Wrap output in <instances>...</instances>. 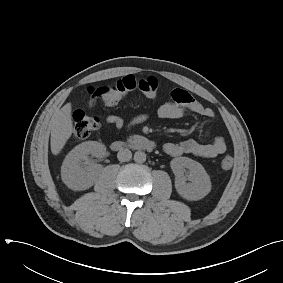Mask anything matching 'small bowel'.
<instances>
[{
    "mask_svg": "<svg viewBox=\"0 0 283 283\" xmlns=\"http://www.w3.org/2000/svg\"><path fill=\"white\" fill-rule=\"evenodd\" d=\"M105 88L106 87L93 88L90 90L91 104H93L95 99L103 97L102 92ZM171 98L172 100L170 102H166L159 107V117L163 119H180L188 112L204 118H212L214 116V111L211 108L205 107L186 90H172ZM148 118V114H139L125 124L120 116L109 115L106 118V124L114 126L117 130H121L124 127L126 129H131L146 122ZM226 149V142L224 138L220 136L214 137L208 143H201L194 139H185L180 142H167L163 145L164 152L172 157L190 154L199 158H214L223 154Z\"/></svg>",
    "mask_w": 283,
    "mask_h": 283,
    "instance_id": "1",
    "label": "small bowel"
}]
</instances>
